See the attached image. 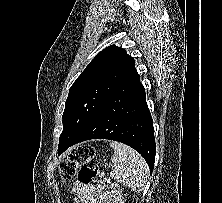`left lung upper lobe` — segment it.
Masks as SVG:
<instances>
[{"label":"left lung upper lobe","mask_w":222,"mask_h":203,"mask_svg":"<svg viewBox=\"0 0 222 203\" xmlns=\"http://www.w3.org/2000/svg\"><path fill=\"white\" fill-rule=\"evenodd\" d=\"M135 71V60L125 49L112 45L99 52L69 90L58 148L73 141Z\"/></svg>","instance_id":"left-lung-upper-lobe-1"}]
</instances>
